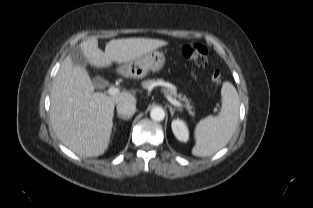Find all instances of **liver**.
Returning <instances> with one entry per match:
<instances>
[{"mask_svg":"<svg viewBox=\"0 0 313 208\" xmlns=\"http://www.w3.org/2000/svg\"><path fill=\"white\" fill-rule=\"evenodd\" d=\"M167 44L166 41L149 38L113 39L103 52L98 47V39L91 37L79 47L91 66L105 68L113 62H132ZM124 101L136 103V98L129 92L115 96L95 92L87 71L74 66L68 55L53 81L52 127L59 140L71 151L83 157H97L108 148L114 107Z\"/></svg>","mask_w":313,"mask_h":208,"instance_id":"6515ba94","label":"liver"}]
</instances>
